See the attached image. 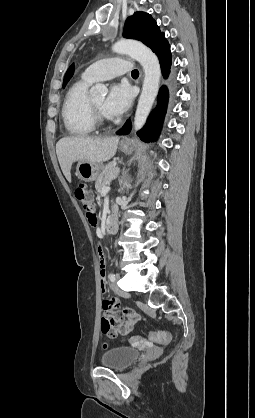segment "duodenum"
I'll list each match as a JSON object with an SVG mask.
<instances>
[{"instance_id":"duodenum-1","label":"duodenum","mask_w":255,"mask_h":418,"mask_svg":"<svg viewBox=\"0 0 255 418\" xmlns=\"http://www.w3.org/2000/svg\"><path fill=\"white\" fill-rule=\"evenodd\" d=\"M117 229H118L117 211L114 209L106 220L105 230L107 232L113 233V232H116Z\"/></svg>"}]
</instances>
